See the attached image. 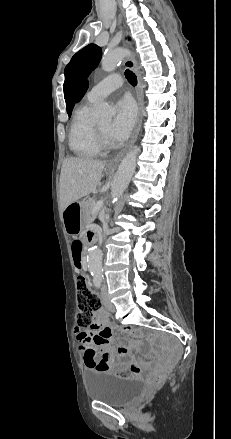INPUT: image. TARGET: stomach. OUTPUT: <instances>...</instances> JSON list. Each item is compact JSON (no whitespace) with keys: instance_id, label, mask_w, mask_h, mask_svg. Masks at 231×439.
<instances>
[{"instance_id":"0dacf381","label":"stomach","mask_w":231,"mask_h":439,"mask_svg":"<svg viewBox=\"0 0 231 439\" xmlns=\"http://www.w3.org/2000/svg\"><path fill=\"white\" fill-rule=\"evenodd\" d=\"M107 173H111V170H106ZM70 207V205L64 209V216H63V221H64V228L66 230V232L70 235H75L77 234L83 226L82 221L79 219V217L77 216H69V211L68 208Z\"/></svg>"}]
</instances>
